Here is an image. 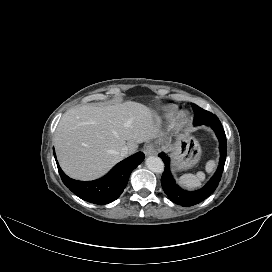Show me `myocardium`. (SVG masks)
<instances>
[{"instance_id": "myocardium-1", "label": "myocardium", "mask_w": 272, "mask_h": 272, "mask_svg": "<svg viewBox=\"0 0 272 272\" xmlns=\"http://www.w3.org/2000/svg\"><path fill=\"white\" fill-rule=\"evenodd\" d=\"M185 119H186V114L185 113H180L177 116V118H176V120L174 122L175 126L176 127H181L185 123Z\"/></svg>"}]
</instances>
